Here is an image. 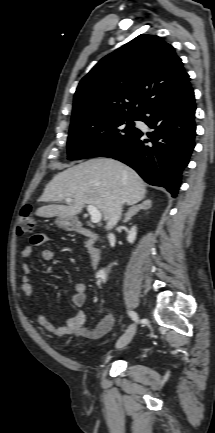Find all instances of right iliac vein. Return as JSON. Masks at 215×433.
Here are the masks:
<instances>
[{"label":"right iliac vein","mask_w":215,"mask_h":433,"mask_svg":"<svg viewBox=\"0 0 215 433\" xmlns=\"http://www.w3.org/2000/svg\"><path fill=\"white\" fill-rule=\"evenodd\" d=\"M135 332H136V325L135 324L130 325L129 328L126 330V332L117 341L116 348L119 349L128 345L132 340Z\"/></svg>","instance_id":"right-iliac-vein-1"}]
</instances>
